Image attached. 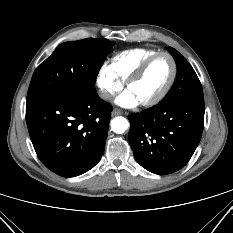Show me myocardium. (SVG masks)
Wrapping results in <instances>:
<instances>
[{
	"instance_id": "1",
	"label": "myocardium",
	"mask_w": 233,
	"mask_h": 233,
	"mask_svg": "<svg viewBox=\"0 0 233 233\" xmlns=\"http://www.w3.org/2000/svg\"><path fill=\"white\" fill-rule=\"evenodd\" d=\"M162 56L169 58V60L171 61V64H172L171 77H170L169 81L167 82V84L165 85V87L156 96H154L153 98L148 99L146 101L139 102L144 107H151V106H154V105L160 103L166 97V95L169 93L171 88L173 87L175 80H176V77H177V64H176L175 59L172 57L171 54H169L167 52H158V53L150 56L149 58H147L144 62H142L140 64V66L133 72V74L125 81L126 88H128L133 83L139 81L144 76V74L147 71V69L149 68V66L156 59H158L159 57H162Z\"/></svg>"
}]
</instances>
